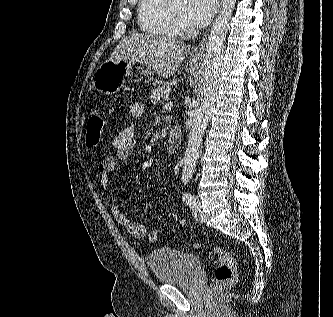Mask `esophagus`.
Masks as SVG:
<instances>
[{"label": "esophagus", "mask_w": 333, "mask_h": 317, "mask_svg": "<svg viewBox=\"0 0 333 317\" xmlns=\"http://www.w3.org/2000/svg\"><path fill=\"white\" fill-rule=\"evenodd\" d=\"M205 44H206V36L202 39L201 43L199 46L195 49L193 52V59L199 60L204 56L205 52Z\"/></svg>", "instance_id": "1"}]
</instances>
